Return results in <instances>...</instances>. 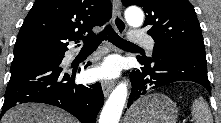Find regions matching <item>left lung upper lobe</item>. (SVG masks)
Here are the masks:
<instances>
[{
	"label": "left lung upper lobe",
	"instance_id": "5c2ea615",
	"mask_svg": "<svg viewBox=\"0 0 221 123\" xmlns=\"http://www.w3.org/2000/svg\"><path fill=\"white\" fill-rule=\"evenodd\" d=\"M122 3L143 8L146 15L143 27L155 41L153 54L188 52L205 56L200 24L188 0H122Z\"/></svg>",
	"mask_w": 221,
	"mask_h": 123
}]
</instances>
